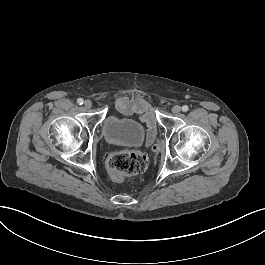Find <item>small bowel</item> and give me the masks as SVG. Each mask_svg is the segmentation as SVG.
Masks as SVG:
<instances>
[{"label": "small bowel", "instance_id": "c3829d8e", "mask_svg": "<svg viewBox=\"0 0 265 265\" xmlns=\"http://www.w3.org/2000/svg\"><path fill=\"white\" fill-rule=\"evenodd\" d=\"M116 107L122 113H130L132 111H135L140 115L141 120L146 121L147 136L145 145H151L156 135L154 120H156L157 117L155 115V110L152 108L150 109L149 105L143 104V102H141L139 98H132L130 100H127L126 97H120L116 102Z\"/></svg>", "mask_w": 265, "mask_h": 265}]
</instances>
